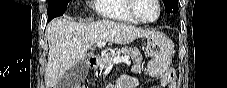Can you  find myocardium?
Instances as JSON below:
<instances>
[{"label": "myocardium", "instance_id": "1", "mask_svg": "<svg viewBox=\"0 0 227 88\" xmlns=\"http://www.w3.org/2000/svg\"><path fill=\"white\" fill-rule=\"evenodd\" d=\"M153 2H154V4L156 5V7L158 9V14L152 20L141 19L137 15V13H136L137 0H129L128 5H127V9H128L129 14L136 20L137 23L152 24V23H155V22H157L159 20V18L161 16V12H162L159 0H153Z\"/></svg>", "mask_w": 227, "mask_h": 88}]
</instances>
